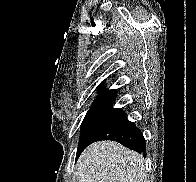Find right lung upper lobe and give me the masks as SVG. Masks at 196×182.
<instances>
[{
  "mask_svg": "<svg viewBox=\"0 0 196 182\" xmlns=\"http://www.w3.org/2000/svg\"><path fill=\"white\" fill-rule=\"evenodd\" d=\"M99 96L94 101L92 105H99V104H113L115 101V97L117 95L116 90H106L102 88V85L99 86Z\"/></svg>",
  "mask_w": 196,
  "mask_h": 182,
  "instance_id": "right-lung-upper-lobe-1",
  "label": "right lung upper lobe"
}]
</instances>
